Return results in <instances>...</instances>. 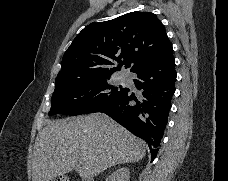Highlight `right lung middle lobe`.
<instances>
[{
	"label": "right lung middle lobe",
	"mask_w": 228,
	"mask_h": 181,
	"mask_svg": "<svg viewBox=\"0 0 228 181\" xmlns=\"http://www.w3.org/2000/svg\"><path fill=\"white\" fill-rule=\"evenodd\" d=\"M110 76L56 86L49 114L75 116L101 112L105 107L116 102L125 92V87L109 84Z\"/></svg>",
	"instance_id": "dd1d6c3e"
}]
</instances>
